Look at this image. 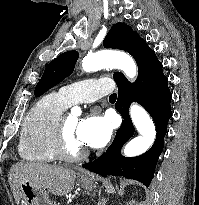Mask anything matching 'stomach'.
Segmentation results:
<instances>
[{"label": "stomach", "instance_id": "stomach-1", "mask_svg": "<svg viewBox=\"0 0 199 205\" xmlns=\"http://www.w3.org/2000/svg\"><path fill=\"white\" fill-rule=\"evenodd\" d=\"M78 182L86 190L92 189L95 185V179L92 177L79 176ZM20 193L24 205H54L47 191L30 181L21 183Z\"/></svg>", "mask_w": 199, "mask_h": 205}]
</instances>
